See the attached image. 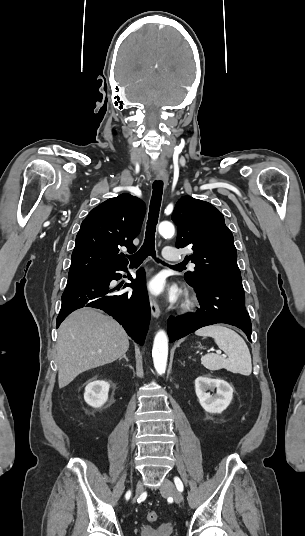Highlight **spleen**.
Returning <instances> with one entry per match:
<instances>
[{
  "label": "spleen",
  "instance_id": "spleen-1",
  "mask_svg": "<svg viewBox=\"0 0 305 536\" xmlns=\"http://www.w3.org/2000/svg\"><path fill=\"white\" fill-rule=\"evenodd\" d=\"M195 334L196 336L214 338L218 348L228 356V358H222L219 354H206L201 358V364H203L204 368H207L210 372L225 368L227 372H233V374L250 376L252 372L250 352L239 334L229 330V328H224L221 324L200 328Z\"/></svg>",
  "mask_w": 305,
  "mask_h": 536
}]
</instances>
